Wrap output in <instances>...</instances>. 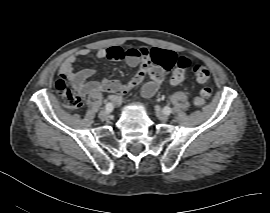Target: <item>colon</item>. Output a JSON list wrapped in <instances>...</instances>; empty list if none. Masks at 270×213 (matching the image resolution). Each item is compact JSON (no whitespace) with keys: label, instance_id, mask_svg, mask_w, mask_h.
<instances>
[{"label":"colon","instance_id":"1","mask_svg":"<svg viewBox=\"0 0 270 213\" xmlns=\"http://www.w3.org/2000/svg\"><path fill=\"white\" fill-rule=\"evenodd\" d=\"M112 56L121 60L126 57H142L151 60L163 69L170 71V80L173 84H179L185 79L186 69L190 65V60L184 56L176 57L171 52L154 50L150 51L146 48H128L122 50H114ZM145 73V69L142 70ZM193 74L196 80L203 84L204 87L194 99V106L201 108L210 98L212 90L210 87V71L203 64H195L193 66ZM55 89L58 91L65 106L69 109H79L83 106L82 99L66 88L63 81L59 80L55 83Z\"/></svg>","mask_w":270,"mask_h":213}]
</instances>
